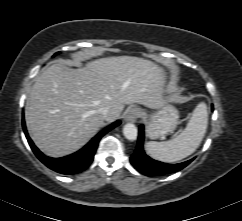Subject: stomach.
Instances as JSON below:
<instances>
[{"label": "stomach", "instance_id": "stomach-1", "mask_svg": "<svg viewBox=\"0 0 242 221\" xmlns=\"http://www.w3.org/2000/svg\"><path fill=\"white\" fill-rule=\"evenodd\" d=\"M147 122V135L158 139L175 130L179 123V112L172 105H164L158 111L148 115L144 113Z\"/></svg>", "mask_w": 242, "mask_h": 221}]
</instances>
